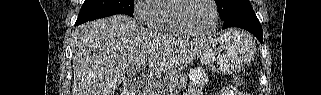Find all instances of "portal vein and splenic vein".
<instances>
[{
    "label": "portal vein and splenic vein",
    "instance_id": "1",
    "mask_svg": "<svg viewBox=\"0 0 321 95\" xmlns=\"http://www.w3.org/2000/svg\"><path fill=\"white\" fill-rule=\"evenodd\" d=\"M145 62H140L137 66H136V71H139V70H143L145 68ZM152 84H155V82H152V81H148V85H152Z\"/></svg>",
    "mask_w": 321,
    "mask_h": 95
}]
</instances>
